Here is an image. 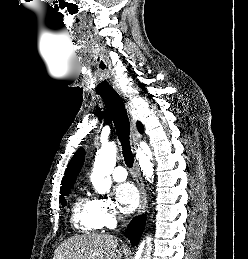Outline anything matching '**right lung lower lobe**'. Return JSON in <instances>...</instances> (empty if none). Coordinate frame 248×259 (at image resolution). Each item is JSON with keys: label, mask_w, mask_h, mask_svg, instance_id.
Here are the masks:
<instances>
[{"label": "right lung lower lobe", "mask_w": 248, "mask_h": 259, "mask_svg": "<svg viewBox=\"0 0 248 259\" xmlns=\"http://www.w3.org/2000/svg\"><path fill=\"white\" fill-rule=\"evenodd\" d=\"M145 221V215L135 217L129 223L128 228L125 231V236L128 237L133 246H136L139 242V239L145 227Z\"/></svg>", "instance_id": "right-lung-lower-lobe-1"}]
</instances>
